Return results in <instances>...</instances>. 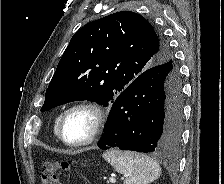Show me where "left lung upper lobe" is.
Listing matches in <instances>:
<instances>
[{
	"mask_svg": "<svg viewBox=\"0 0 224 184\" xmlns=\"http://www.w3.org/2000/svg\"><path fill=\"white\" fill-rule=\"evenodd\" d=\"M168 62L178 71L163 36L143 16L121 11L95 20L71 38L41 112L75 100L108 106L141 73Z\"/></svg>",
	"mask_w": 224,
	"mask_h": 184,
	"instance_id": "1",
	"label": "left lung upper lobe"
}]
</instances>
